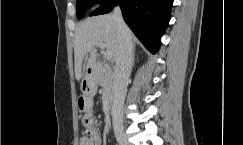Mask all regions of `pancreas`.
Here are the masks:
<instances>
[{
    "mask_svg": "<svg viewBox=\"0 0 243 145\" xmlns=\"http://www.w3.org/2000/svg\"><path fill=\"white\" fill-rule=\"evenodd\" d=\"M113 78H114V72L112 67L108 64H104L100 69L98 80L105 94H108L112 91Z\"/></svg>",
    "mask_w": 243,
    "mask_h": 145,
    "instance_id": "cf45deb5",
    "label": "pancreas"
}]
</instances>
